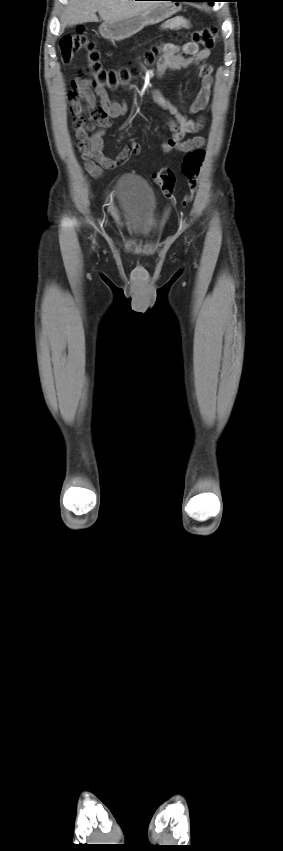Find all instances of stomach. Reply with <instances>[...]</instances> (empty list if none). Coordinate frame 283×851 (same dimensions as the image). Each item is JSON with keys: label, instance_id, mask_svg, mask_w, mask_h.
Instances as JSON below:
<instances>
[{"label": "stomach", "instance_id": "0dacf381", "mask_svg": "<svg viewBox=\"0 0 283 851\" xmlns=\"http://www.w3.org/2000/svg\"><path fill=\"white\" fill-rule=\"evenodd\" d=\"M180 9L179 2H159L135 16L115 22H104L99 31L107 39L121 41L138 33L147 25H154L171 17Z\"/></svg>", "mask_w": 283, "mask_h": 851}]
</instances>
